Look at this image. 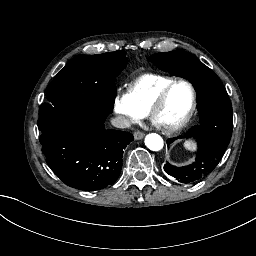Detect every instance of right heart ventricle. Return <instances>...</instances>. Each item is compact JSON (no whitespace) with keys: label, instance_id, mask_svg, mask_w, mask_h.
Returning <instances> with one entry per match:
<instances>
[{"label":"right heart ventricle","instance_id":"right-heart-ventricle-1","mask_svg":"<svg viewBox=\"0 0 256 256\" xmlns=\"http://www.w3.org/2000/svg\"><path fill=\"white\" fill-rule=\"evenodd\" d=\"M173 80L174 78L171 76L155 78L153 82L140 88H135L132 91L131 96L132 98L138 99L142 103L143 107H145L153 102L157 95Z\"/></svg>","mask_w":256,"mask_h":256}]
</instances>
